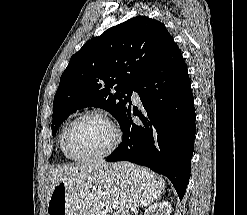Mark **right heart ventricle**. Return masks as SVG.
Listing matches in <instances>:
<instances>
[{
	"instance_id": "obj_1",
	"label": "right heart ventricle",
	"mask_w": 247,
	"mask_h": 215,
	"mask_svg": "<svg viewBox=\"0 0 247 215\" xmlns=\"http://www.w3.org/2000/svg\"><path fill=\"white\" fill-rule=\"evenodd\" d=\"M69 124H70V121H66L62 125L60 132H59L58 142H59L60 151L63 154V156L69 160H74L68 154V151L66 148V142H65L66 132H67Z\"/></svg>"
}]
</instances>
